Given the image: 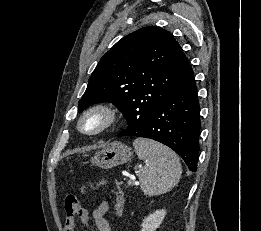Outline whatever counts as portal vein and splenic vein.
Here are the masks:
<instances>
[{"mask_svg":"<svg viewBox=\"0 0 261 231\" xmlns=\"http://www.w3.org/2000/svg\"><path fill=\"white\" fill-rule=\"evenodd\" d=\"M128 184H135L134 179L133 180H129Z\"/></svg>","mask_w":261,"mask_h":231,"instance_id":"18ae733b","label":"portal vein and splenic vein"}]
</instances>
